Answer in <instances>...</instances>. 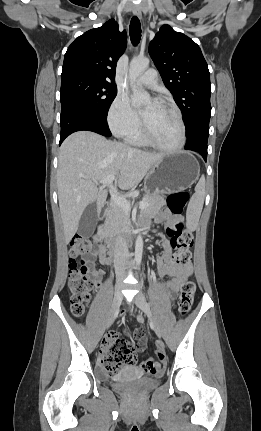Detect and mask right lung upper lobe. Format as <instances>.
I'll use <instances>...</instances> for the list:
<instances>
[{
	"label": "right lung upper lobe",
	"instance_id": "right-lung-upper-lobe-1",
	"mask_svg": "<svg viewBox=\"0 0 261 431\" xmlns=\"http://www.w3.org/2000/svg\"><path fill=\"white\" fill-rule=\"evenodd\" d=\"M126 44V32H119L114 19L85 32L69 46L61 78L83 74L116 85V63Z\"/></svg>",
	"mask_w": 261,
	"mask_h": 431
}]
</instances>
